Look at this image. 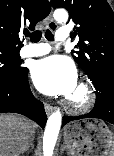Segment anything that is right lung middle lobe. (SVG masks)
Listing matches in <instances>:
<instances>
[{"label":"right lung middle lobe","mask_w":114,"mask_h":156,"mask_svg":"<svg viewBox=\"0 0 114 156\" xmlns=\"http://www.w3.org/2000/svg\"><path fill=\"white\" fill-rule=\"evenodd\" d=\"M19 50L9 51L0 49V84L16 82L24 73L21 66Z\"/></svg>","instance_id":"obj_1"}]
</instances>
